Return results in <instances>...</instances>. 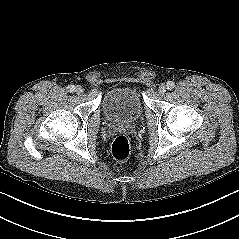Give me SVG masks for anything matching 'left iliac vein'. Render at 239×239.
I'll return each instance as SVG.
<instances>
[{
    "mask_svg": "<svg viewBox=\"0 0 239 239\" xmlns=\"http://www.w3.org/2000/svg\"><path fill=\"white\" fill-rule=\"evenodd\" d=\"M166 90H167L166 85L162 84V85H160V87L158 89V92H159L160 95H163L166 92Z\"/></svg>",
    "mask_w": 239,
    "mask_h": 239,
    "instance_id": "obj_1",
    "label": "left iliac vein"
}]
</instances>
